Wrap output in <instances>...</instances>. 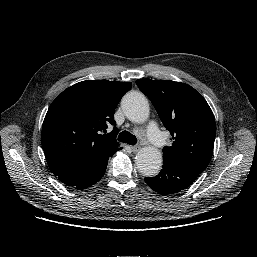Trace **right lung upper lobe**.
I'll list each match as a JSON object with an SVG mask.
<instances>
[{"label": "right lung upper lobe", "mask_w": 257, "mask_h": 257, "mask_svg": "<svg viewBox=\"0 0 257 257\" xmlns=\"http://www.w3.org/2000/svg\"><path fill=\"white\" fill-rule=\"evenodd\" d=\"M132 83L87 80L64 90L45 116L41 143L52 173L74 186L97 171L119 148L115 108ZM114 126L108 133L107 129Z\"/></svg>", "instance_id": "obj_1"}]
</instances>
